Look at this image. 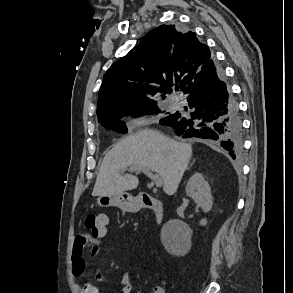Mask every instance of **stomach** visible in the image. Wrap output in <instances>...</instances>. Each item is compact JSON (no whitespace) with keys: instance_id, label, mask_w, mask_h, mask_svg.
Here are the masks:
<instances>
[{"instance_id":"stomach-1","label":"stomach","mask_w":293,"mask_h":293,"mask_svg":"<svg viewBox=\"0 0 293 293\" xmlns=\"http://www.w3.org/2000/svg\"><path fill=\"white\" fill-rule=\"evenodd\" d=\"M96 201L100 207L115 206L126 212L133 211L137 206L133 196L127 192L112 196L101 195Z\"/></svg>"}]
</instances>
